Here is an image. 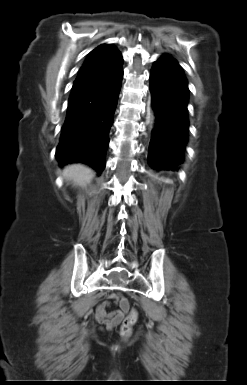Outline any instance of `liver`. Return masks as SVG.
Wrapping results in <instances>:
<instances>
[{
	"instance_id": "6515ba94",
	"label": "liver",
	"mask_w": 247,
	"mask_h": 385,
	"mask_svg": "<svg viewBox=\"0 0 247 385\" xmlns=\"http://www.w3.org/2000/svg\"><path fill=\"white\" fill-rule=\"evenodd\" d=\"M62 175L71 180L75 185L85 187L94 177V172L82 164H72L64 168Z\"/></svg>"
}]
</instances>
